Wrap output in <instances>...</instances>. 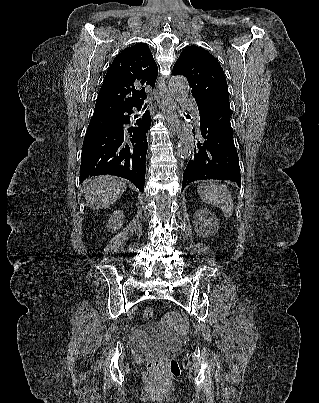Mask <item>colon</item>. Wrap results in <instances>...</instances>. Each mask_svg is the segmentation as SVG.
<instances>
[{
	"label": "colon",
	"mask_w": 319,
	"mask_h": 403,
	"mask_svg": "<svg viewBox=\"0 0 319 403\" xmlns=\"http://www.w3.org/2000/svg\"><path fill=\"white\" fill-rule=\"evenodd\" d=\"M154 310L151 307H147L143 310V318L145 320H150L153 318ZM148 369L151 372L168 374L176 372V361L173 357L166 360L155 359L149 362Z\"/></svg>",
	"instance_id": "1"
}]
</instances>
